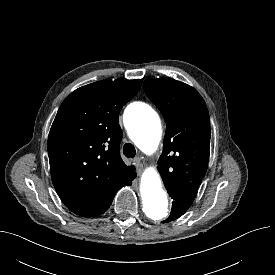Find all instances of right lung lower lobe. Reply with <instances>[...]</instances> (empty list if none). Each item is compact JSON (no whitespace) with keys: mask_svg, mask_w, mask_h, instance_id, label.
Wrapping results in <instances>:
<instances>
[{"mask_svg":"<svg viewBox=\"0 0 275 275\" xmlns=\"http://www.w3.org/2000/svg\"><path fill=\"white\" fill-rule=\"evenodd\" d=\"M133 177H134V176H133ZM133 177H132L131 180L129 181L130 184H131V181H132ZM130 184H129V185H130Z\"/></svg>","mask_w":275,"mask_h":275,"instance_id":"1","label":"right lung lower lobe"}]
</instances>
